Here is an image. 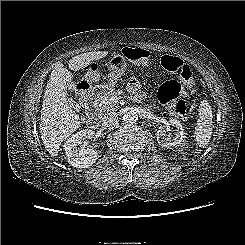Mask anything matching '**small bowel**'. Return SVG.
<instances>
[{"mask_svg":"<svg viewBox=\"0 0 245 245\" xmlns=\"http://www.w3.org/2000/svg\"><path fill=\"white\" fill-rule=\"evenodd\" d=\"M128 89L131 93H133L138 101L144 99L145 95L140 91V84L137 80L132 79L128 83Z\"/></svg>","mask_w":245,"mask_h":245,"instance_id":"c3829d8e","label":"small bowel"}]
</instances>
